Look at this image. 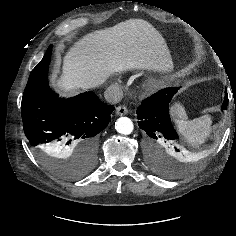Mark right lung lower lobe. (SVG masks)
Listing matches in <instances>:
<instances>
[{"instance_id": "right-lung-lower-lobe-1", "label": "right lung lower lobe", "mask_w": 236, "mask_h": 236, "mask_svg": "<svg viewBox=\"0 0 236 236\" xmlns=\"http://www.w3.org/2000/svg\"><path fill=\"white\" fill-rule=\"evenodd\" d=\"M52 45L31 71L21 103L24 133L35 149L65 154L76 145L80 160L95 162L97 134L110 122L114 107L93 92L59 98L48 85Z\"/></svg>"}]
</instances>
